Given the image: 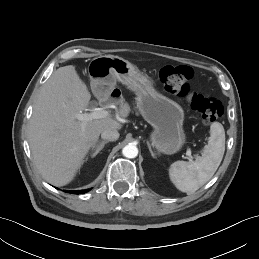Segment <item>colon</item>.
<instances>
[{"label":"colon","mask_w":259,"mask_h":259,"mask_svg":"<svg viewBox=\"0 0 259 259\" xmlns=\"http://www.w3.org/2000/svg\"><path fill=\"white\" fill-rule=\"evenodd\" d=\"M193 71L189 66H164L159 71V80L172 95L185 98L205 124L215 122L223 113L221 102L213 97L192 92L190 81Z\"/></svg>","instance_id":"obj_1"}]
</instances>
